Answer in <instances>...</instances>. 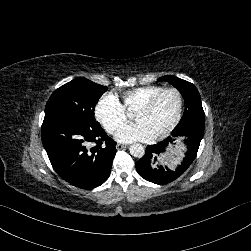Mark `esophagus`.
Returning <instances> with one entry per match:
<instances>
[{
  "instance_id": "esophagus-1",
  "label": "esophagus",
  "mask_w": 251,
  "mask_h": 251,
  "mask_svg": "<svg viewBox=\"0 0 251 251\" xmlns=\"http://www.w3.org/2000/svg\"><path fill=\"white\" fill-rule=\"evenodd\" d=\"M124 147H125L124 144H121V143H118V144L116 145V149H117L118 151H119V150H122Z\"/></svg>"
}]
</instances>
